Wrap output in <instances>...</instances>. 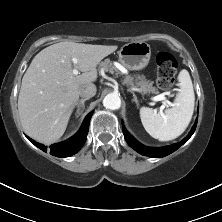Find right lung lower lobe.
Masks as SVG:
<instances>
[{
	"instance_id": "1",
	"label": "right lung lower lobe",
	"mask_w": 222,
	"mask_h": 222,
	"mask_svg": "<svg viewBox=\"0 0 222 222\" xmlns=\"http://www.w3.org/2000/svg\"><path fill=\"white\" fill-rule=\"evenodd\" d=\"M92 114H93V111L90 112L86 116V118L81 126V129L73 137H71L70 139H68L64 142H60V143L51 145L50 149H49L50 154L57 156V157H68V156H71V155L75 154L76 152H78L79 149L84 145V143L86 141L88 129H89V121H90ZM27 138L39 149L46 152V147L44 145H41V144L35 142L34 140L30 139L29 137H27Z\"/></svg>"
}]
</instances>
